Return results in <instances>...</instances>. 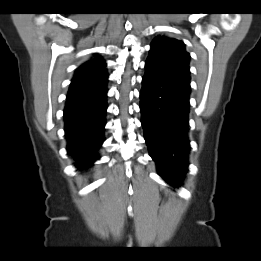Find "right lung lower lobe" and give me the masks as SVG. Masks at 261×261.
<instances>
[{
  "label": "right lung lower lobe",
  "instance_id": "98d812e1",
  "mask_svg": "<svg viewBox=\"0 0 261 261\" xmlns=\"http://www.w3.org/2000/svg\"><path fill=\"white\" fill-rule=\"evenodd\" d=\"M106 95L105 84L67 95L64 109L67 153L81 170L91 167L99 158L108 107Z\"/></svg>",
  "mask_w": 261,
  "mask_h": 261
}]
</instances>
